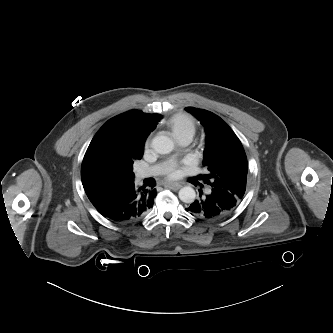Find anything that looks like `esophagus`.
<instances>
[{
  "label": "esophagus",
  "mask_w": 333,
  "mask_h": 333,
  "mask_svg": "<svg viewBox=\"0 0 333 333\" xmlns=\"http://www.w3.org/2000/svg\"><path fill=\"white\" fill-rule=\"evenodd\" d=\"M165 187L172 190H178L182 187V185L179 183H165Z\"/></svg>",
  "instance_id": "34e87169"
}]
</instances>
